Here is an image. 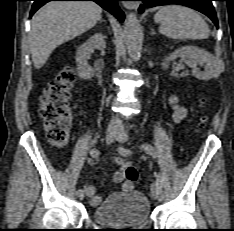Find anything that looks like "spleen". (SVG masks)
Returning a JSON list of instances; mask_svg holds the SVG:
<instances>
[{
	"mask_svg": "<svg viewBox=\"0 0 234 231\" xmlns=\"http://www.w3.org/2000/svg\"><path fill=\"white\" fill-rule=\"evenodd\" d=\"M159 31L171 39L200 40L209 37V27L193 9L180 5L161 7L154 16Z\"/></svg>",
	"mask_w": 234,
	"mask_h": 231,
	"instance_id": "3e777b00",
	"label": "spleen"
}]
</instances>
